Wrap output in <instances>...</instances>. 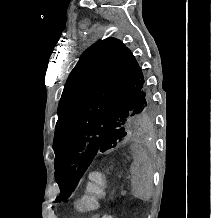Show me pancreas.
<instances>
[{"label": "pancreas", "mask_w": 211, "mask_h": 218, "mask_svg": "<svg viewBox=\"0 0 211 218\" xmlns=\"http://www.w3.org/2000/svg\"><path fill=\"white\" fill-rule=\"evenodd\" d=\"M125 192H122V196H124Z\"/></svg>", "instance_id": "cf45deb5"}]
</instances>
